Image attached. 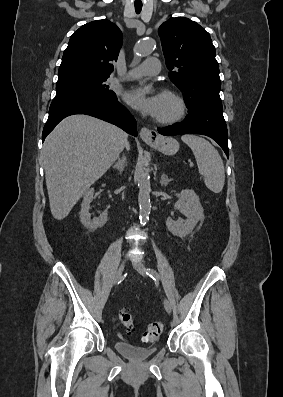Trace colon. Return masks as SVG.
<instances>
[{
    "label": "colon",
    "instance_id": "obj_1",
    "mask_svg": "<svg viewBox=\"0 0 283 397\" xmlns=\"http://www.w3.org/2000/svg\"><path fill=\"white\" fill-rule=\"evenodd\" d=\"M119 321L127 330L133 329V317L129 311L122 309L119 313ZM162 330L163 324L161 322L150 323L142 336V341L145 343L154 342L161 335Z\"/></svg>",
    "mask_w": 283,
    "mask_h": 397
}]
</instances>
